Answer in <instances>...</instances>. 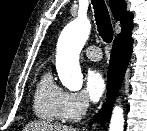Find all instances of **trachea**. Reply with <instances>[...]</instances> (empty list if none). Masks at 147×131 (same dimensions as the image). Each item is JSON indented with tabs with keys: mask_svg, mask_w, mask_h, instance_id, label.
Listing matches in <instances>:
<instances>
[{
	"mask_svg": "<svg viewBox=\"0 0 147 131\" xmlns=\"http://www.w3.org/2000/svg\"><path fill=\"white\" fill-rule=\"evenodd\" d=\"M94 8L95 20L99 35L104 42L110 43L113 39V28L104 0H91Z\"/></svg>",
	"mask_w": 147,
	"mask_h": 131,
	"instance_id": "trachea-1",
	"label": "trachea"
}]
</instances>
